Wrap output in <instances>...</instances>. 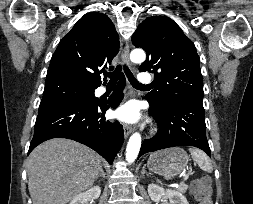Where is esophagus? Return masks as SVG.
<instances>
[{
    "label": "esophagus",
    "mask_w": 253,
    "mask_h": 204,
    "mask_svg": "<svg viewBox=\"0 0 253 204\" xmlns=\"http://www.w3.org/2000/svg\"><path fill=\"white\" fill-rule=\"evenodd\" d=\"M129 51H130L129 45L126 44V46L124 47V49L122 51V59L128 65H131L130 58H129ZM133 130H134L133 126L124 125V136H125V138H127L133 132Z\"/></svg>",
    "instance_id": "obj_1"
}]
</instances>
